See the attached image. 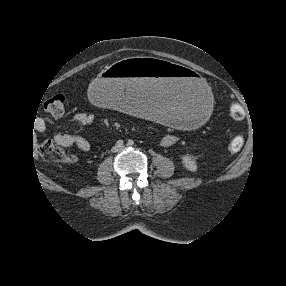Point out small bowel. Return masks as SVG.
Returning a JSON list of instances; mask_svg holds the SVG:
<instances>
[{
    "instance_id": "1",
    "label": "small bowel",
    "mask_w": 286,
    "mask_h": 286,
    "mask_svg": "<svg viewBox=\"0 0 286 286\" xmlns=\"http://www.w3.org/2000/svg\"><path fill=\"white\" fill-rule=\"evenodd\" d=\"M73 123L78 124H90L94 121V116L89 114H77L73 116ZM53 119L49 117L42 118L37 126V131H43L48 125L53 124ZM55 141L65 147H76L83 152H89L91 145L89 141L81 136L70 135V134H58L54 137ZM178 137L174 134H168L164 136L161 140V145L163 147H170L176 144Z\"/></svg>"
}]
</instances>
